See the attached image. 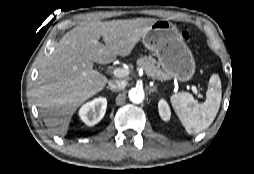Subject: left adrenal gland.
Here are the masks:
<instances>
[{
	"instance_id": "1",
	"label": "left adrenal gland",
	"mask_w": 254,
	"mask_h": 174,
	"mask_svg": "<svg viewBox=\"0 0 254 174\" xmlns=\"http://www.w3.org/2000/svg\"><path fill=\"white\" fill-rule=\"evenodd\" d=\"M147 89H148V91H149V94H151L152 92H157V87H156V86L153 87V88L147 87Z\"/></svg>"
}]
</instances>
